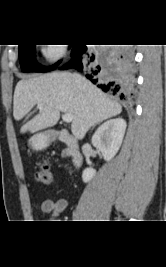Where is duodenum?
Masks as SVG:
<instances>
[{
  "mask_svg": "<svg viewBox=\"0 0 166 267\" xmlns=\"http://www.w3.org/2000/svg\"><path fill=\"white\" fill-rule=\"evenodd\" d=\"M55 138L67 145L68 154L70 156L73 167L75 169L79 168L82 165L83 158L80 153L77 139L66 130L57 131L55 133Z\"/></svg>",
  "mask_w": 166,
  "mask_h": 267,
  "instance_id": "duodenum-1",
  "label": "duodenum"
}]
</instances>
